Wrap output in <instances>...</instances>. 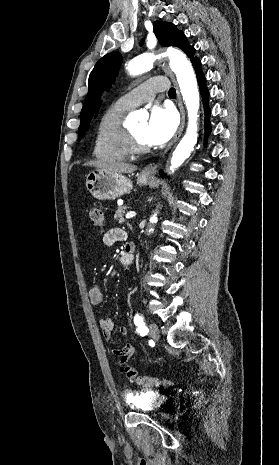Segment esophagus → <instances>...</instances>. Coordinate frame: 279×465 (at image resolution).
Here are the masks:
<instances>
[{
	"mask_svg": "<svg viewBox=\"0 0 279 465\" xmlns=\"http://www.w3.org/2000/svg\"><path fill=\"white\" fill-rule=\"evenodd\" d=\"M161 67H162L163 71L172 79V81L175 84L176 92H177L178 107H179L180 114H181V124H180V127L178 129V132L175 135L174 139L170 142V144L167 146V148L163 152V154H162V157H163L167 153V151L172 147V145L180 138V136L182 134V131H183L184 125H185V111H184L182 99H181V96H180L179 88H178V85H177V83L175 81V77H174L172 71L170 70V68L165 63H161ZM156 169H157V165L150 164V165H148L147 167H145L143 169L142 173L145 176H152V175H154L156 173Z\"/></svg>",
	"mask_w": 279,
	"mask_h": 465,
	"instance_id": "obj_1",
	"label": "esophagus"
}]
</instances>
